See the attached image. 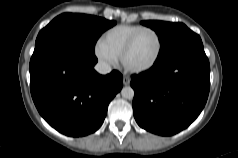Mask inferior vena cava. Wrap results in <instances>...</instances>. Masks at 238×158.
I'll return each mask as SVG.
<instances>
[{"mask_svg": "<svg viewBox=\"0 0 238 158\" xmlns=\"http://www.w3.org/2000/svg\"><path fill=\"white\" fill-rule=\"evenodd\" d=\"M95 70L100 73V74H108L111 72V66L104 62V61H99L96 65H95Z\"/></svg>", "mask_w": 238, "mask_h": 158, "instance_id": "inferior-vena-cava-1", "label": "inferior vena cava"}]
</instances>
